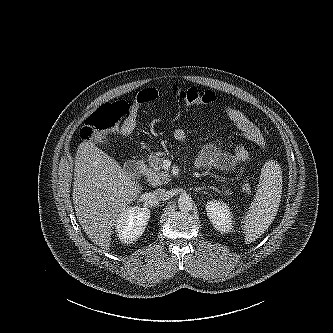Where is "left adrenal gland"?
Returning <instances> with one entry per match:
<instances>
[{
	"instance_id": "a2214340",
	"label": "left adrenal gland",
	"mask_w": 333,
	"mask_h": 333,
	"mask_svg": "<svg viewBox=\"0 0 333 333\" xmlns=\"http://www.w3.org/2000/svg\"><path fill=\"white\" fill-rule=\"evenodd\" d=\"M204 189H206L205 187H198V188H195L194 190L196 191V192H198V191H201V190H204Z\"/></svg>"
}]
</instances>
